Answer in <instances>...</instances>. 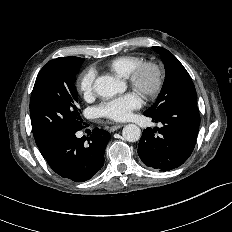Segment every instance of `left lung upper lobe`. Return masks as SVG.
Returning <instances> with one entry per match:
<instances>
[{
  "mask_svg": "<svg viewBox=\"0 0 232 232\" xmlns=\"http://www.w3.org/2000/svg\"><path fill=\"white\" fill-rule=\"evenodd\" d=\"M153 49L161 55L166 75L157 101L145 113L158 114L180 102L196 106V90L184 66L165 48L153 47Z\"/></svg>",
  "mask_w": 232,
  "mask_h": 232,
  "instance_id": "obj_1",
  "label": "left lung upper lobe"
}]
</instances>
